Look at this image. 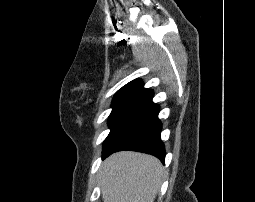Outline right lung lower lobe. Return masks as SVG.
<instances>
[{
    "label": "right lung lower lobe",
    "mask_w": 255,
    "mask_h": 202,
    "mask_svg": "<svg viewBox=\"0 0 255 202\" xmlns=\"http://www.w3.org/2000/svg\"><path fill=\"white\" fill-rule=\"evenodd\" d=\"M159 106L152 104L133 116L113 138L102 158L121 150H133L154 155L162 162L165 148L161 141V122L158 119Z\"/></svg>",
    "instance_id": "1"
}]
</instances>
